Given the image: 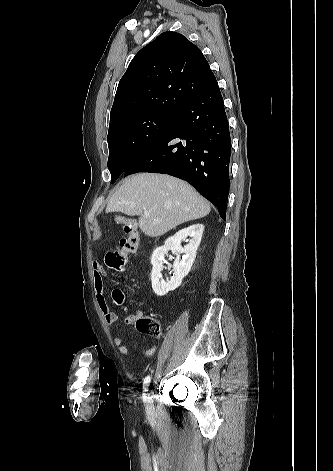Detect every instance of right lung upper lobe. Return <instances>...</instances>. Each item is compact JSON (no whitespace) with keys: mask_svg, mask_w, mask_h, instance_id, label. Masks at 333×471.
I'll return each instance as SVG.
<instances>
[{"mask_svg":"<svg viewBox=\"0 0 333 471\" xmlns=\"http://www.w3.org/2000/svg\"><path fill=\"white\" fill-rule=\"evenodd\" d=\"M216 82L196 45L179 33L164 32L130 62L119 81L110 124L144 111L176 113Z\"/></svg>","mask_w":333,"mask_h":471,"instance_id":"1","label":"right lung upper lobe"}]
</instances>
